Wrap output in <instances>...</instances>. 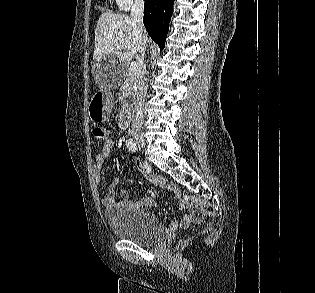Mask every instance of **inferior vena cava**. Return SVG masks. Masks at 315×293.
Masks as SVG:
<instances>
[{"instance_id":"1","label":"inferior vena cava","mask_w":315,"mask_h":293,"mask_svg":"<svg viewBox=\"0 0 315 293\" xmlns=\"http://www.w3.org/2000/svg\"><path fill=\"white\" fill-rule=\"evenodd\" d=\"M144 15V0H135L131 9V16L133 20V27L136 36L138 56V70L136 73L135 82V104L132 114L131 134H139L142 131L143 125V107L147 93V87L144 80L146 69L145 51H146V32L143 24Z\"/></svg>"}]
</instances>
